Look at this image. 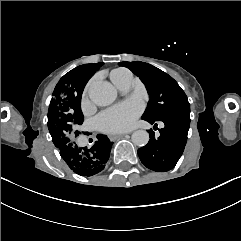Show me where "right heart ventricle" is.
<instances>
[{
  "label": "right heart ventricle",
  "mask_w": 241,
  "mask_h": 241,
  "mask_svg": "<svg viewBox=\"0 0 241 241\" xmlns=\"http://www.w3.org/2000/svg\"><path fill=\"white\" fill-rule=\"evenodd\" d=\"M111 79L118 88H121L131 80V74L127 70L117 69L113 71Z\"/></svg>",
  "instance_id": "obj_1"
}]
</instances>
